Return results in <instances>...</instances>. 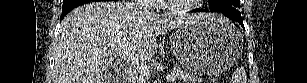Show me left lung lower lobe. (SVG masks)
I'll use <instances>...</instances> for the list:
<instances>
[{
  "label": "left lung lower lobe",
  "mask_w": 307,
  "mask_h": 83,
  "mask_svg": "<svg viewBox=\"0 0 307 83\" xmlns=\"http://www.w3.org/2000/svg\"><path fill=\"white\" fill-rule=\"evenodd\" d=\"M200 11H205V12H207V11H209V10H208V9H195V10H193L192 12H200ZM211 11H212V12H221V13L224 14L227 18L231 19L232 21H237V22H239V24H240L242 27H244L243 19H242V17H241L240 15L234 14V13L230 12V11L227 10V9H226V10H220V11H218V10H214V9L211 8Z\"/></svg>",
  "instance_id": "obj_1"
}]
</instances>
